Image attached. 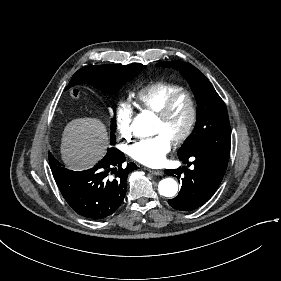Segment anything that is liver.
Returning a JSON list of instances; mask_svg holds the SVG:
<instances>
[{
	"mask_svg": "<svg viewBox=\"0 0 281 281\" xmlns=\"http://www.w3.org/2000/svg\"><path fill=\"white\" fill-rule=\"evenodd\" d=\"M109 145V132L102 119L75 118L62 131L61 160L69 169L84 171L105 158Z\"/></svg>",
	"mask_w": 281,
	"mask_h": 281,
	"instance_id": "liver-1",
	"label": "liver"
}]
</instances>
